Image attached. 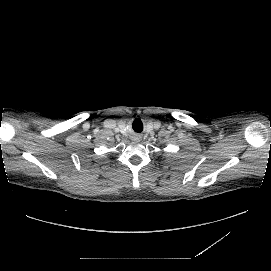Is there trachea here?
Masks as SVG:
<instances>
[{
  "mask_svg": "<svg viewBox=\"0 0 271 271\" xmlns=\"http://www.w3.org/2000/svg\"><path fill=\"white\" fill-rule=\"evenodd\" d=\"M132 130L134 132H142L144 130V123L141 118H134L132 120Z\"/></svg>",
  "mask_w": 271,
  "mask_h": 271,
  "instance_id": "3493384b",
  "label": "trachea"
}]
</instances>
